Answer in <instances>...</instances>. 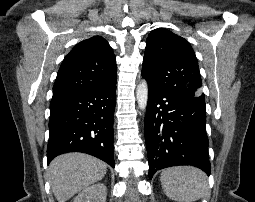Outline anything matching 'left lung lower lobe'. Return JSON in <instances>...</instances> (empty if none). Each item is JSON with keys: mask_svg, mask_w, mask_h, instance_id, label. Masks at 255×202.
<instances>
[{"mask_svg": "<svg viewBox=\"0 0 255 202\" xmlns=\"http://www.w3.org/2000/svg\"><path fill=\"white\" fill-rule=\"evenodd\" d=\"M148 88L144 132L150 179L156 171L177 165L210 175L205 101Z\"/></svg>", "mask_w": 255, "mask_h": 202, "instance_id": "left-lung-lower-lobe-1", "label": "left lung lower lobe"}]
</instances>
